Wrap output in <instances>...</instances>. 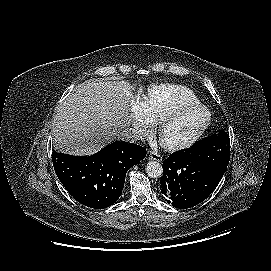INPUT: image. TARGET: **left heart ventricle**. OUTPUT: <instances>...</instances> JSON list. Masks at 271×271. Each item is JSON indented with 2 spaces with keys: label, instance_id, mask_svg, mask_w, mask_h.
Returning <instances> with one entry per match:
<instances>
[{
  "label": "left heart ventricle",
  "instance_id": "1",
  "mask_svg": "<svg viewBox=\"0 0 271 271\" xmlns=\"http://www.w3.org/2000/svg\"><path fill=\"white\" fill-rule=\"evenodd\" d=\"M205 117L204 111L196 110L176 118L165 129V140L177 142L188 138L202 124Z\"/></svg>",
  "mask_w": 271,
  "mask_h": 271
}]
</instances>
